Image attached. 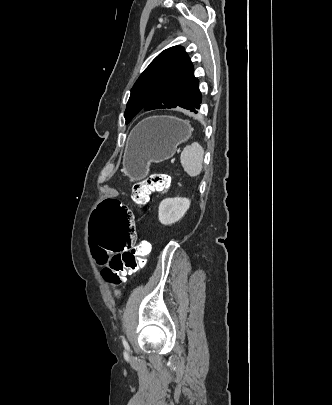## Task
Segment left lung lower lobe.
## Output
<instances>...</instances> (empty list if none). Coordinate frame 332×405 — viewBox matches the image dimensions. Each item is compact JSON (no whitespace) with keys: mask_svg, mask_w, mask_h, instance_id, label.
I'll return each mask as SVG.
<instances>
[{"mask_svg":"<svg viewBox=\"0 0 332 405\" xmlns=\"http://www.w3.org/2000/svg\"><path fill=\"white\" fill-rule=\"evenodd\" d=\"M200 97H201V94H200ZM201 101H202V98H200V102L198 103V105L194 109H191L190 111H192L194 113H198V109H200Z\"/></svg>","mask_w":332,"mask_h":405,"instance_id":"0a47b994","label":"left lung lower lobe"}]
</instances>
